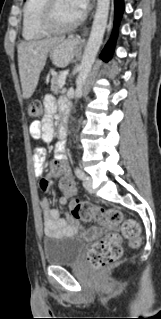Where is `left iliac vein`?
<instances>
[{"label": "left iliac vein", "instance_id": "1", "mask_svg": "<svg viewBox=\"0 0 161 319\" xmlns=\"http://www.w3.org/2000/svg\"><path fill=\"white\" fill-rule=\"evenodd\" d=\"M83 186L89 193H93L92 179L90 177H86L83 180Z\"/></svg>", "mask_w": 161, "mask_h": 319}]
</instances>
